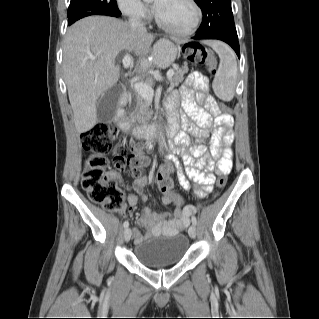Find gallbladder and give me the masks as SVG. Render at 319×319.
<instances>
[{"label": "gallbladder", "mask_w": 319, "mask_h": 319, "mask_svg": "<svg viewBox=\"0 0 319 319\" xmlns=\"http://www.w3.org/2000/svg\"><path fill=\"white\" fill-rule=\"evenodd\" d=\"M121 85L109 88L97 103V121L100 123L111 122L117 111L118 100L123 92Z\"/></svg>", "instance_id": "bac80fb5"}]
</instances>
